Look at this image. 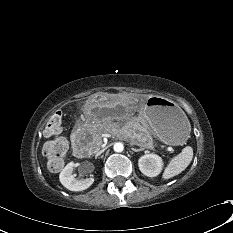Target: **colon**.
Listing matches in <instances>:
<instances>
[{
  "mask_svg": "<svg viewBox=\"0 0 233 233\" xmlns=\"http://www.w3.org/2000/svg\"><path fill=\"white\" fill-rule=\"evenodd\" d=\"M61 129L62 115L60 112H56L48 120L45 128V135L52 137V139L43 148L44 155L48 159V165L54 170L63 166L67 152V142L60 137Z\"/></svg>",
  "mask_w": 233,
  "mask_h": 233,
  "instance_id": "1",
  "label": "colon"
}]
</instances>
